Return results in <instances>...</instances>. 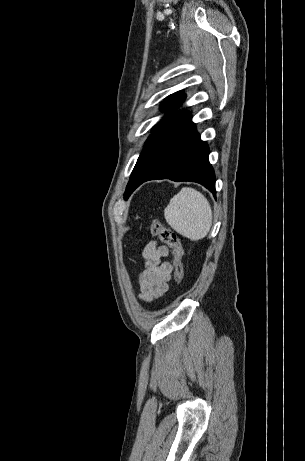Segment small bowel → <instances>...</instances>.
Returning a JSON list of instances; mask_svg holds the SVG:
<instances>
[{
    "mask_svg": "<svg viewBox=\"0 0 305 461\" xmlns=\"http://www.w3.org/2000/svg\"><path fill=\"white\" fill-rule=\"evenodd\" d=\"M168 248L156 241L146 244L142 256L145 268L139 273V298L145 303H153L168 290V281L173 266L163 259L168 256Z\"/></svg>",
    "mask_w": 305,
    "mask_h": 461,
    "instance_id": "obj_1",
    "label": "small bowel"
}]
</instances>
